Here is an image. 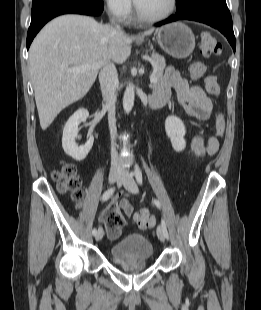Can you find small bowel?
I'll return each mask as SVG.
<instances>
[{
    "mask_svg": "<svg viewBox=\"0 0 261 310\" xmlns=\"http://www.w3.org/2000/svg\"><path fill=\"white\" fill-rule=\"evenodd\" d=\"M171 88L175 90L179 103L189 115L199 120H207L210 117L212 102L205 91L200 86L191 85L174 69L168 68L165 80L155 86L153 97L167 101ZM192 148L198 157L213 155L218 150V141L215 138L205 140L201 136H195ZM119 206L127 217L132 216L133 207L127 199L120 200Z\"/></svg>",
    "mask_w": 261,
    "mask_h": 310,
    "instance_id": "c3829d8e",
    "label": "small bowel"
}]
</instances>
